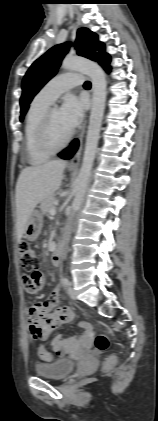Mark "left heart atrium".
<instances>
[{"instance_id": "39dd6f15", "label": "left heart atrium", "mask_w": 158, "mask_h": 421, "mask_svg": "<svg viewBox=\"0 0 158 421\" xmlns=\"http://www.w3.org/2000/svg\"><path fill=\"white\" fill-rule=\"evenodd\" d=\"M83 109V102L79 98L69 95L64 99L60 109V116L63 124L70 132L80 123Z\"/></svg>"}]
</instances>
